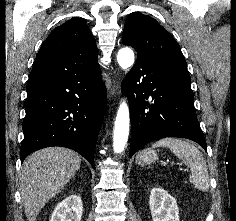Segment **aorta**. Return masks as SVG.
Masks as SVG:
<instances>
[{
	"label": "aorta",
	"mask_w": 236,
	"mask_h": 221,
	"mask_svg": "<svg viewBox=\"0 0 236 221\" xmlns=\"http://www.w3.org/2000/svg\"><path fill=\"white\" fill-rule=\"evenodd\" d=\"M117 61L122 69H128L134 64V52L129 47L121 48L117 55ZM129 107L123 101L117 111L114 126L113 149L115 153L124 151L129 135Z\"/></svg>",
	"instance_id": "1"
}]
</instances>
